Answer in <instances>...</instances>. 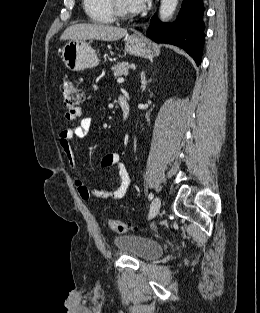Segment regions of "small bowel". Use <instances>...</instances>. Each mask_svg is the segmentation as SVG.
Listing matches in <instances>:
<instances>
[{"mask_svg": "<svg viewBox=\"0 0 260 313\" xmlns=\"http://www.w3.org/2000/svg\"><path fill=\"white\" fill-rule=\"evenodd\" d=\"M82 110L79 108L75 111H68L65 113V120L73 122L80 118ZM93 119L91 117L82 118L78 125L65 128L58 134L57 140L61 151L66 156L68 164L73 170L78 169V163L71 148V140L74 137H84L88 134L92 128ZM101 165L103 167H116L117 168V180L116 186L112 190L91 189L82 181L80 177L75 178V184L80 197L88 201L92 197L118 200L125 196L129 187V173L122 162L121 155L118 152H111L104 155L101 159Z\"/></svg>", "mask_w": 260, "mask_h": 313, "instance_id": "obj_1", "label": "small bowel"}]
</instances>
